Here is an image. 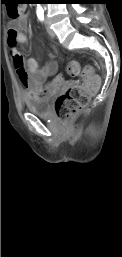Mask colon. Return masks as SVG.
I'll return each mask as SVG.
<instances>
[{
	"label": "colon",
	"mask_w": 122,
	"mask_h": 257,
	"mask_svg": "<svg viewBox=\"0 0 122 257\" xmlns=\"http://www.w3.org/2000/svg\"><path fill=\"white\" fill-rule=\"evenodd\" d=\"M5 10H10L9 16L12 19L19 17V5H5ZM67 71L73 77H80L82 82L80 85L67 89L56 99L55 113L63 123L69 122L87 105L91 95L98 90L100 85V80L92 69L82 68L77 61L69 62ZM64 79H66V74H53V79L45 82V87L47 90H65ZM37 94H46V89H37Z\"/></svg>",
	"instance_id": "5ec220e1"
}]
</instances>
